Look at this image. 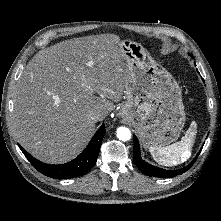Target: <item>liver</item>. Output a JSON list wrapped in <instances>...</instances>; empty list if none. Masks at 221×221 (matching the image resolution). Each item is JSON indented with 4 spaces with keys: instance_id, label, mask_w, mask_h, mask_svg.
Here are the masks:
<instances>
[{
    "instance_id": "1",
    "label": "liver",
    "mask_w": 221,
    "mask_h": 221,
    "mask_svg": "<svg viewBox=\"0 0 221 221\" xmlns=\"http://www.w3.org/2000/svg\"><path fill=\"white\" fill-rule=\"evenodd\" d=\"M121 43L114 34L74 38L40 50L29 61L16 85L12 127L32 156L61 164L87 146L96 123L90 113L100 111L104 120L125 93Z\"/></svg>"
}]
</instances>
